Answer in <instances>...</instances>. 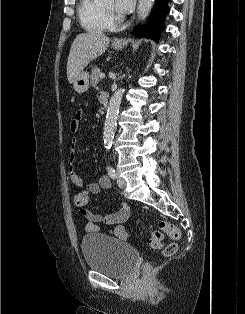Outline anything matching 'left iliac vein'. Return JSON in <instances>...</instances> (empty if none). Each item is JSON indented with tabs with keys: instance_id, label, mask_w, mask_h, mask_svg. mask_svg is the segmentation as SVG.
<instances>
[{
	"instance_id": "4c4485c4",
	"label": "left iliac vein",
	"mask_w": 245,
	"mask_h": 314,
	"mask_svg": "<svg viewBox=\"0 0 245 314\" xmlns=\"http://www.w3.org/2000/svg\"><path fill=\"white\" fill-rule=\"evenodd\" d=\"M117 185L119 186V188L123 189L126 187V182L123 178L118 177L117 178Z\"/></svg>"
}]
</instances>
